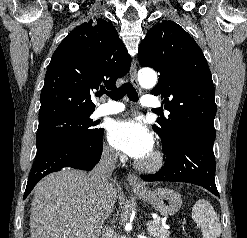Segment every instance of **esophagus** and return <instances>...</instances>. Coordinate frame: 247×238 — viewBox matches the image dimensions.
<instances>
[{
  "label": "esophagus",
  "instance_id": "obj_1",
  "mask_svg": "<svg viewBox=\"0 0 247 238\" xmlns=\"http://www.w3.org/2000/svg\"><path fill=\"white\" fill-rule=\"evenodd\" d=\"M130 78L132 84L136 87L139 88L138 81H137V65L136 61L133 59L130 67ZM127 181L128 183L138 189H143L144 185L143 183L139 180V178L132 173H128L127 175Z\"/></svg>",
  "mask_w": 247,
  "mask_h": 238
}]
</instances>
